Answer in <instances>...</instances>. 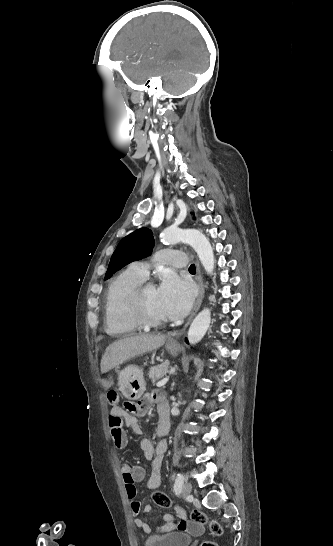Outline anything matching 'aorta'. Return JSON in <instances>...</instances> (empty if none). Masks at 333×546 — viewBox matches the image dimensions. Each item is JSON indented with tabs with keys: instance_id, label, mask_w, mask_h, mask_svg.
<instances>
[{
	"instance_id": "762f6f07",
	"label": "aorta",
	"mask_w": 333,
	"mask_h": 546,
	"mask_svg": "<svg viewBox=\"0 0 333 546\" xmlns=\"http://www.w3.org/2000/svg\"><path fill=\"white\" fill-rule=\"evenodd\" d=\"M162 240L166 243H185L197 253L202 266L208 274L214 269V253L209 240L197 229H173L163 231ZM211 322L209 309L201 311L193 320L188 331V341L191 345L198 343L206 334Z\"/></svg>"
}]
</instances>
